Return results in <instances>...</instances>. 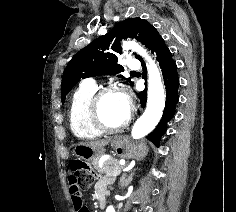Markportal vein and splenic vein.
Returning a JSON list of instances; mask_svg holds the SVG:
<instances>
[{"label": "portal vein and splenic vein", "instance_id": "1", "mask_svg": "<svg viewBox=\"0 0 236 212\" xmlns=\"http://www.w3.org/2000/svg\"><path fill=\"white\" fill-rule=\"evenodd\" d=\"M121 173V169H116L111 173V176H117Z\"/></svg>", "mask_w": 236, "mask_h": 212}]
</instances>
